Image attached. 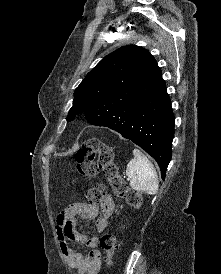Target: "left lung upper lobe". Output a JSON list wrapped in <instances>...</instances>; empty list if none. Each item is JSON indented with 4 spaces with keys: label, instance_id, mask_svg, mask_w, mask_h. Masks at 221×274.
Listing matches in <instances>:
<instances>
[{
    "label": "left lung upper lobe",
    "instance_id": "5c2ea615",
    "mask_svg": "<svg viewBox=\"0 0 221 274\" xmlns=\"http://www.w3.org/2000/svg\"><path fill=\"white\" fill-rule=\"evenodd\" d=\"M160 68L142 47L127 45L104 57L76 88L68 121L85 114L90 124L97 111L137 97Z\"/></svg>",
    "mask_w": 221,
    "mask_h": 274
}]
</instances>
